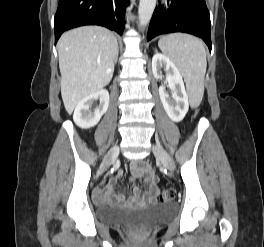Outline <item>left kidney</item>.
Returning <instances> with one entry per match:
<instances>
[{
	"instance_id": "obj_1",
	"label": "left kidney",
	"mask_w": 264,
	"mask_h": 247,
	"mask_svg": "<svg viewBox=\"0 0 264 247\" xmlns=\"http://www.w3.org/2000/svg\"><path fill=\"white\" fill-rule=\"evenodd\" d=\"M162 69L166 72V81L172 91V96L164 86H160L161 102L169 118L174 122H180L189 109L188 94L182 76L176 65L167 56L156 53L152 58V72L156 79L161 77Z\"/></svg>"
}]
</instances>
